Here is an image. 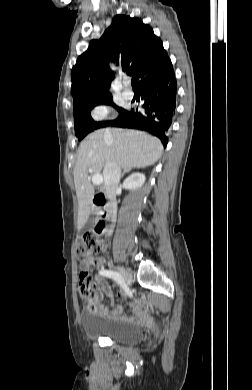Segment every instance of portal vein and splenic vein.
<instances>
[{
    "label": "portal vein and splenic vein",
    "instance_id": "18ae733b",
    "mask_svg": "<svg viewBox=\"0 0 252 390\" xmlns=\"http://www.w3.org/2000/svg\"><path fill=\"white\" fill-rule=\"evenodd\" d=\"M89 172L92 173V169H89ZM92 182L95 185H100L103 182V177L101 174H95L92 176Z\"/></svg>",
    "mask_w": 252,
    "mask_h": 390
}]
</instances>
